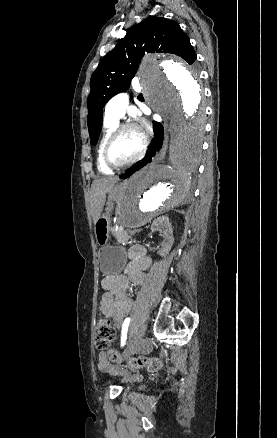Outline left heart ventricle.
Segmentation results:
<instances>
[{
    "mask_svg": "<svg viewBox=\"0 0 277 438\" xmlns=\"http://www.w3.org/2000/svg\"><path fill=\"white\" fill-rule=\"evenodd\" d=\"M141 147V138L133 130H126L119 135L110 149V159L114 163H124L133 159Z\"/></svg>",
    "mask_w": 277,
    "mask_h": 438,
    "instance_id": "b2bd125f",
    "label": "left heart ventricle"
}]
</instances>
